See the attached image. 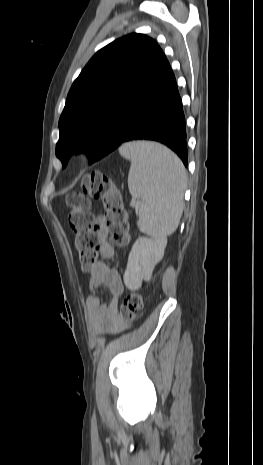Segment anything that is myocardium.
Returning <instances> with one entry per match:
<instances>
[{
  "label": "myocardium",
  "mask_w": 263,
  "mask_h": 465,
  "mask_svg": "<svg viewBox=\"0 0 263 465\" xmlns=\"http://www.w3.org/2000/svg\"><path fill=\"white\" fill-rule=\"evenodd\" d=\"M91 154V149L90 148H86V149H83L80 153V158L82 160H85L86 158L89 157V155Z\"/></svg>",
  "instance_id": "f54148a6"
}]
</instances>
